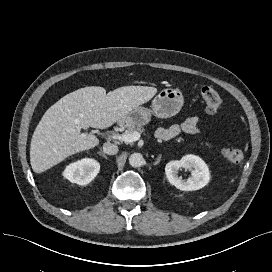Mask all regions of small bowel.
Returning <instances> with one entry per match:
<instances>
[{
    "label": "small bowel",
    "instance_id": "c3829d8e",
    "mask_svg": "<svg viewBox=\"0 0 272 272\" xmlns=\"http://www.w3.org/2000/svg\"><path fill=\"white\" fill-rule=\"evenodd\" d=\"M203 121L197 116H192L185 119L181 124H173L169 127L158 128L156 137L159 140L166 141L179 135L181 132L197 135L201 132Z\"/></svg>",
    "mask_w": 272,
    "mask_h": 272
}]
</instances>
